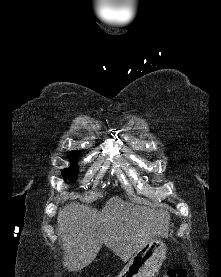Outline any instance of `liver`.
<instances>
[{
    "mask_svg": "<svg viewBox=\"0 0 221 277\" xmlns=\"http://www.w3.org/2000/svg\"><path fill=\"white\" fill-rule=\"evenodd\" d=\"M170 214L110 198L101 211L72 202L57 216L64 249L63 265L80 271L92 263L103 244L123 262L154 237H167Z\"/></svg>",
    "mask_w": 221,
    "mask_h": 277,
    "instance_id": "liver-1",
    "label": "liver"
}]
</instances>
